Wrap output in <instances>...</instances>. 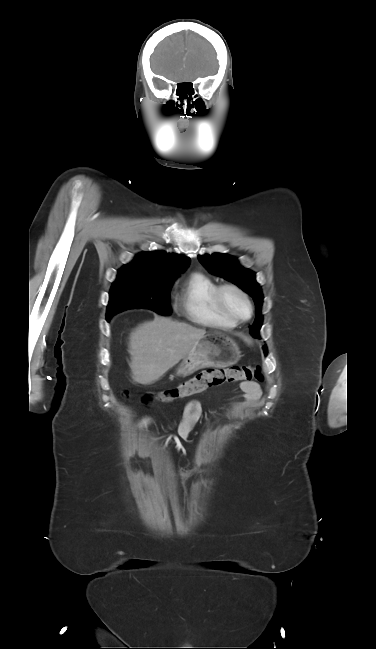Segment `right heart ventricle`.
<instances>
[{"instance_id": "obj_1", "label": "right heart ventricle", "mask_w": 376, "mask_h": 649, "mask_svg": "<svg viewBox=\"0 0 376 649\" xmlns=\"http://www.w3.org/2000/svg\"><path fill=\"white\" fill-rule=\"evenodd\" d=\"M218 283L201 271L186 276L177 287L176 300L179 310L191 321L221 329H231L237 323L226 317L217 300Z\"/></svg>"}]
</instances>
